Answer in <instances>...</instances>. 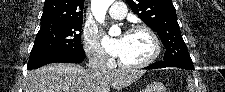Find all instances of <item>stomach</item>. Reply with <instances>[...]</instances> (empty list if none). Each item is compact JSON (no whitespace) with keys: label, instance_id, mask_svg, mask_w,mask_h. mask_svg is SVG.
Returning <instances> with one entry per match:
<instances>
[{"label":"stomach","instance_id":"1","mask_svg":"<svg viewBox=\"0 0 225 92\" xmlns=\"http://www.w3.org/2000/svg\"><path fill=\"white\" fill-rule=\"evenodd\" d=\"M142 92H166V89L161 83L153 82L148 84Z\"/></svg>","mask_w":225,"mask_h":92}]
</instances>
